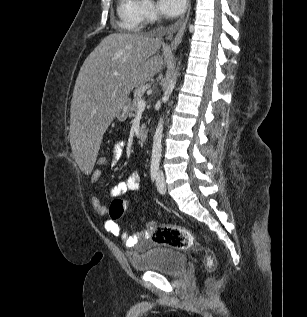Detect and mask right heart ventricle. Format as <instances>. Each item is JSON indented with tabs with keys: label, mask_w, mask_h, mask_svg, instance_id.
Segmentation results:
<instances>
[{
	"label": "right heart ventricle",
	"mask_w": 307,
	"mask_h": 317,
	"mask_svg": "<svg viewBox=\"0 0 307 317\" xmlns=\"http://www.w3.org/2000/svg\"><path fill=\"white\" fill-rule=\"evenodd\" d=\"M140 0H119L117 13L120 25L123 29L131 32L139 31L143 26L141 17Z\"/></svg>",
	"instance_id": "obj_1"
}]
</instances>
